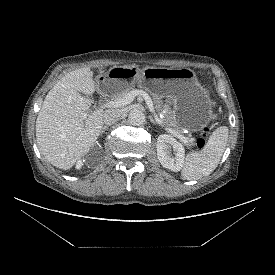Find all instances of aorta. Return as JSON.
<instances>
[{"label": "aorta", "mask_w": 275, "mask_h": 275, "mask_svg": "<svg viewBox=\"0 0 275 275\" xmlns=\"http://www.w3.org/2000/svg\"><path fill=\"white\" fill-rule=\"evenodd\" d=\"M128 119L132 125L139 126L145 122V114L138 109H133L129 112Z\"/></svg>", "instance_id": "aorta-1"}]
</instances>
